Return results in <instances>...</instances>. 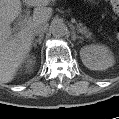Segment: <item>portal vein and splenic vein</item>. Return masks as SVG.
Returning a JSON list of instances; mask_svg holds the SVG:
<instances>
[{
	"label": "portal vein and splenic vein",
	"mask_w": 119,
	"mask_h": 119,
	"mask_svg": "<svg viewBox=\"0 0 119 119\" xmlns=\"http://www.w3.org/2000/svg\"><path fill=\"white\" fill-rule=\"evenodd\" d=\"M29 21H30L29 15L28 14H25V17H24L23 21L21 23H19L20 27H23Z\"/></svg>",
	"instance_id": "18ae733b"
}]
</instances>
